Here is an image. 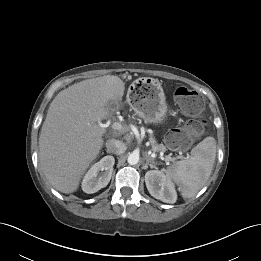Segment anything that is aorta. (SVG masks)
Segmentation results:
<instances>
[{
    "instance_id": "aorta-1",
    "label": "aorta",
    "mask_w": 261,
    "mask_h": 261,
    "mask_svg": "<svg viewBox=\"0 0 261 261\" xmlns=\"http://www.w3.org/2000/svg\"><path fill=\"white\" fill-rule=\"evenodd\" d=\"M127 162L130 165H136L139 162V155L137 153H131L128 156Z\"/></svg>"
}]
</instances>
